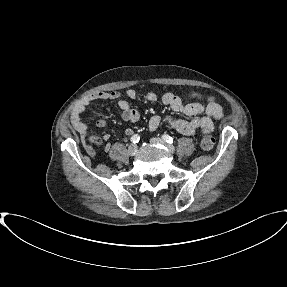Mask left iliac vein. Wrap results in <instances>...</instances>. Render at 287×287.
Instances as JSON below:
<instances>
[{
    "mask_svg": "<svg viewBox=\"0 0 287 287\" xmlns=\"http://www.w3.org/2000/svg\"><path fill=\"white\" fill-rule=\"evenodd\" d=\"M150 142L153 143V144L165 146L168 150H170L172 152L174 151V147L172 145H170V144H167L161 138H157V137L151 138Z\"/></svg>",
    "mask_w": 287,
    "mask_h": 287,
    "instance_id": "obj_1",
    "label": "left iliac vein"
}]
</instances>
